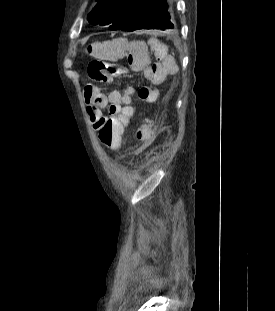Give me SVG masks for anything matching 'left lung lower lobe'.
<instances>
[{
	"instance_id": "1",
	"label": "left lung lower lobe",
	"mask_w": 275,
	"mask_h": 311,
	"mask_svg": "<svg viewBox=\"0 0 275 311\" xmlns=\"http://www.w3.org/2000/svg\"><path fill=\"white\" fill-rule=\"evenodd\" d=\"M174 28L166 0H145L121 30L130 32L141 29L168 31Z\"/></svg>"
}]
</instances>
